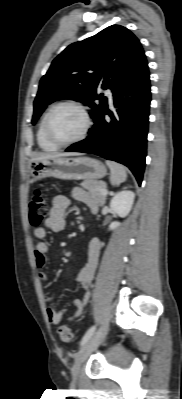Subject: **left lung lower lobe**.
I'll return each mask as SVG.
<instances>
[{"label":"left lung lower lobe","mask_w":182,"mask_h":399,"mask_svg":"<svg viewBox=\"0 0 182 399\" xmlns=\"http://www.w3.org/2000/svg\"><path fill=\"white\" fill-rule=\"evenodd\" d=\"M147 61L113 92L115 112L108 108L94 118L89 136L67 152L96 154L127 166L141 185L145 169L151 101ZM110 116V120L105 119Z\"/></svg>","instance_id":"obj_1"}]
</instances>
